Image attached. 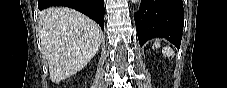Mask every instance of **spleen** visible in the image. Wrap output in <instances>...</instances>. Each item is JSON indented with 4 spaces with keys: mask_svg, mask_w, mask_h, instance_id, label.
<instances>
[{
    "mask_svg": "<svg viewBox=\"0 0 227 88\" xmlns=\"http://www.w3.org/2000/svg\"><path fill=\"white\" fill-rule=\"evenodd\" d=\"M160 46V42L159 41H155L154 44H153V48H158ZM162 53L165 57H171L174 55V51L171 47H165L163 50H162Z\"/></svg>",
    "mask_w": 227,
    "mask_h": 88,
    "instance_id": "3e777b00",
    "label": "spleen"
}]
</instances>
